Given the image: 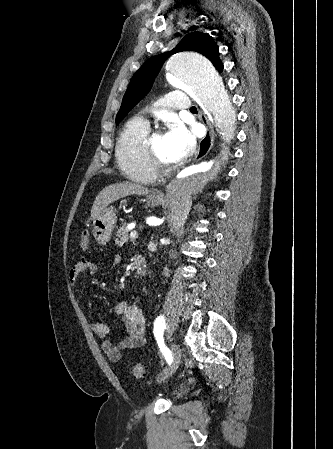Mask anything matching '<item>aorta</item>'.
Instances as JSON below:
<instances>
[{
	"mask_svg": "<svg viewBox=\"0 0 333 449\" xmlns=\"http://www.w3.org/2000/svg\"><path fill=\"white\" fill-rule=\"evenodd\" d=\"M167 80L173 87L193 94L205 109L209 119L230 134L235 115L222 78L211 62L196 52H177L166 62ZM228 161L223 150L196 165L190 166L167 186L172 219L171 232L181 227L187 219L192 197L215 182Z\"/></svg>",
	"mask_w": 333,
	"mask_h": 449,
	"instance_id": "762f6f07",
	"label": "aorta"
}]
</instances>
